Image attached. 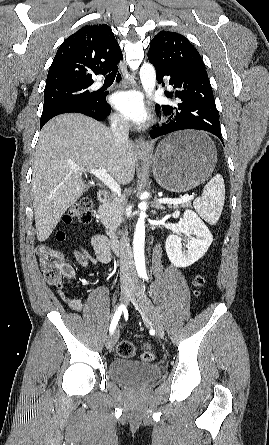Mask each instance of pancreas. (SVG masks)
Returning a JSON list of instances; mask_svg holds the SVG:
<instances>
[{
	"label": "pancreas",
	"mask_w": 269,
	"mask_h": 445,
	"mask_svg": "<svg viewBox=\"0 0 269 445\" xmlns=\"http://www.w3.org/2000/svg\"><path fill=\"white\" fill-rule=\"evenodd\" d=\"M191 202L183 203L182 207L189 208L191 207ZM173 208H178V205H173ZM99 214L101 222L104 224L107 234L111 238H116L115 232L117 227L123 221L124 215V203L117 198H109L100 208Z\"/></svg>",
	"instance_id": "1"
}]
</instances>
